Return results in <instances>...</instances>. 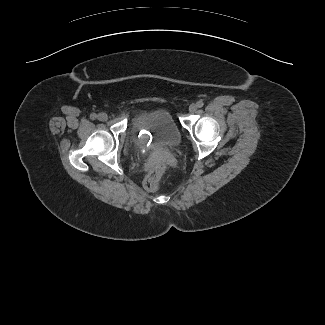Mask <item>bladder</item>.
Segmentation results:
<instances>
[{
	"label": "bladder",
	"mask_w": 325,
	"mask_h": 325,
	"mask_svg": "<svg viewBox=\"0 0 325 325\" xmlns=\"http://www.w3.org/2000/svg\"><path fill=\"white\" fill-rule=\"evenodd\" d=\"M132 139L138 146L174 148L180 144L181 133L171 113L163 108L145 111L131 124Z\"/></svg>",
	"instance_id": "bladder-1"
}]
</instances>
